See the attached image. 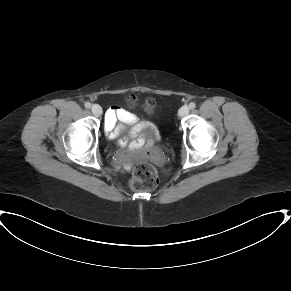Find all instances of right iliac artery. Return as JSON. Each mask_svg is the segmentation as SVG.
<instances>
[{"mask_svg": "<svg viewBox=\"0 0 291 291\" xmlns=\"http://www.w3.org/2000/svg\"><path fill=\"white\" fill-rule=\"evenodd\" d=\"M84 106H85L87 109H89V108L91 107V103H89V102H85Z\"/></svg>", "mask_w": 291, "mask_h": 291, "instance_id": "obj_1", "label": "right iliac artery"}]
</instances>
